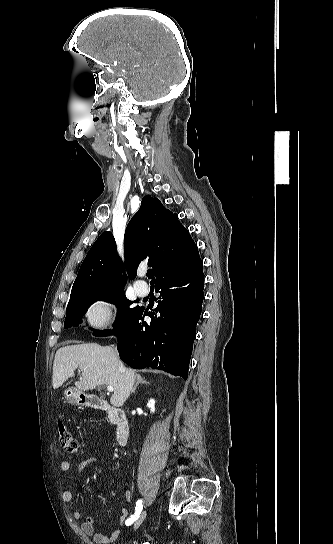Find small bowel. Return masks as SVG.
<instances>
[{
    "label": "small bowel",
    "instance_id": "obj_1",
    "mask_svg": "<svg viewBox=\"0 0 333 544\" xmlns=\"http://www.w3.org/2000/svg\"><path fill=\"white\" fill-rule=\"evenodd\" d=\"M98 462V458L96 456H90L81 462L78 463L76 467L77 473H82L87 467L95 464ZM71 469V463L69 461H63L60 464V480L64 482L67 479V474ZM73 495L72 492L65 488L62 491V500L65 503H70L72 501ZM134 498V494L132 491L128 490L125 492V499L128 502H131ZM72 517L74 520H81L83 519V522L81 523L82 530L90 536L95 542L97 543H110L115 541L119 535H120V529L114 530L110 535H105L102 532L98 531L95 528V519L92 516H84L83 513L79 510H76L72 513ZM131 517L130 510L128 508H124L122 510L121 516L118 519V526L122 527L126 525L127 520Z\"/></svg>",
    "mask_w": 333,
    "mask_h": 544
}]
</instances>
